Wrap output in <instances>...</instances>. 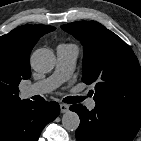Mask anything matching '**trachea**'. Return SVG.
Wrapping results in <instances>:
<instances>
[{
    "label": "trachea",
    "instance_id": "obj_1",
    "mask_svg": "<svg viewBox=\"0 0 141 141\" xmlns=\"http://www.w3.org/2000/svg\"><path fill=\"white\" fill-rule=\"evenodd\" d=\"M84 99V97L81 96H68L63 99L65 103L73 104V103H79Z\"/></svg>",
    "mask_w": 141,
    "mask_h": 141
}]
</instances>
